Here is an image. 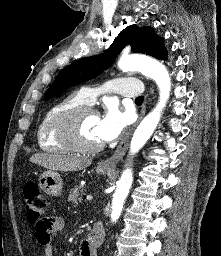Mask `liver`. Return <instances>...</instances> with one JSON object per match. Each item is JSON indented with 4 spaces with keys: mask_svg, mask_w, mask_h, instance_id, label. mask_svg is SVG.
<instances>
[{
    "mask_svg": "<svg viewBox=\"0 0 221 256\" xmlns=\"http://www.w3.org/2000/svg\"><path fill=\"white\" fill-rule=\"evenodd\" d=\"M30 162L51 171L66 172L82 170L88 167L92 163V160L72 155L36 153L30 158Z\"/></svg>",
    "mask_w": 221,
    "mask_h": 256,
    "instance_id": "liver-1",
    "label": "liver"
}]
</instances>
